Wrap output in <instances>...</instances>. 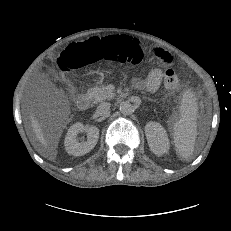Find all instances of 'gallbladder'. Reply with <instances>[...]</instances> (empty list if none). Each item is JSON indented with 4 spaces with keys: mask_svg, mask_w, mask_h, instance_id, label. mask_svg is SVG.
Instances as JSON below:
<instances>
[{
    "mask_svg": "<svg viewBox=\"0 0 231 231\" xmlns=\"http://www.w3.org/2000/svg\"><path fill=\"white\" fill-rule=\"evenodd\" d=\"M47 89L49 90V94H52L53 91L55 90L54 87L52 85H47Z\"/></svg>",
    "mask_w": 231,
    "mask_h": 231,
    "instance_id": "obj_1",
    "label": "gallbladder"
}]
</instances>
